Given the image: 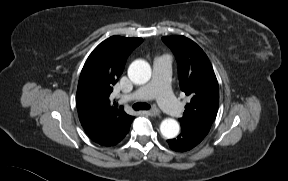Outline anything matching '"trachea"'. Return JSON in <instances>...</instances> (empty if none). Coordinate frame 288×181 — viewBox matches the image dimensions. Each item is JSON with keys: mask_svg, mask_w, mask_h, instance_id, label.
I'll return each mask as SVG.
<instances>
[{"mask_svg": "<svg viewBox=\"0 0 288 181\" xmlns=\"http://www.w3.org/2000/svg\"><path fill=\"white\" fill-rule=\"evenodd\" d=\"M133 109L138 111V110H149L150 109V105L147 103H140L137 102L133 105Z\"/></svg>", "mask_w": 288, "mask_h": 181, "instance_id": "trachea-1", "label": "trachea"}]
</instances>
